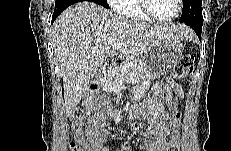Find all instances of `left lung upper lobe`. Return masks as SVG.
<instances>
[{"mask_svg": "<svg viewBox=\"0 0 231 151\" xmlns=\"http://www.w3.org/2000/svg\"><path fill=\"white\" fill-rule=\"evenodd\" d=\"M201 5L202 0H183V11L179 22H203Z\"/></svg>", "mask_w": 231, "mask_h": 151, "instance_id": "1", "label": "left lung upper lobe"}]
</instances>
